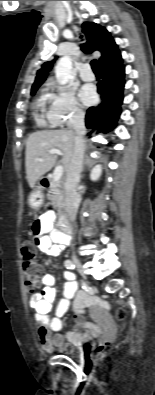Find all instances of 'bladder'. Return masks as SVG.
Segmentation results:
<instances>
[{"instance_id": "1", "label": "bladder", "mask_w": 155, "mask_h": 395, "mask_svg": "<svg viewBox=\"0 0 155 395\" xmlns=\"http://www.w3.org/2000/svg\"><path fill=\"white\" fill-rule=\"evenodd\" d=\"M59 351L61 352V354L72 357V358H78L81 353V351L78 347L71 345V344L63 345L59 349Z\"/></svg>"}]
</instances>
